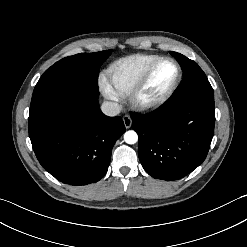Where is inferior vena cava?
Wrapping results in <instances>:
<instances>
[{"label":"inferior vena cava","mask_w":247,"mask_h":247,"mask_svg":"<svg viewBox=\"0 0 247 247\" xmlns=\"http://www.w3.org/2000/svg\"><path fill=\"white\" fill-rule=\"evenodd\" d=\"M101 111L107 116H117L121 112V106L116 102L105 101L101 105Z\"/></svg>","instance_id":"1"}]
</instances>
